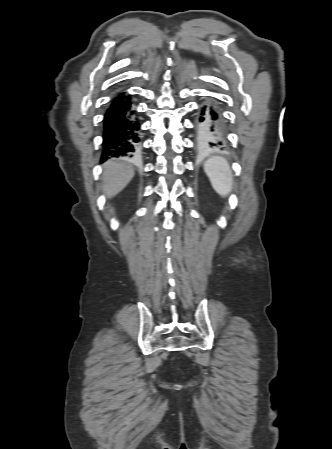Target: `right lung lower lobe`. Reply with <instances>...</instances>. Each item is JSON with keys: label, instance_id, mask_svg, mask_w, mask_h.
I'll return each instance as SVG.
<instances>
[{"label": "right lung lower lobe", "instance_id": "1", "mask_svg": "<svg viewBox=\"0 0 332 449\" xmlns=\"http://www.w3.org/2000/svg\"><path fill=\"white\" fill-rule=\"evenodd\" d=\"M101 161L111 157H133L139 151L140 123L130 95L117 94L104 115Z\"/></svg>", "mask_w": 332, "mask_h": 449}]
</instances>
